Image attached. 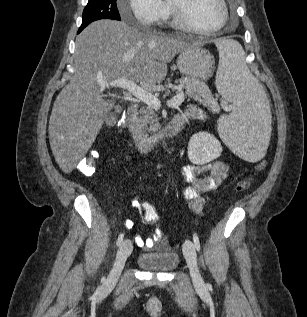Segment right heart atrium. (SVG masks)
I'll return each mask as SVG.
<instances>
[{"instance_id":"obj_1","label":"right heart atrium","mask_w":307,"mask_h":317,"mask_svg":"<svg viewBox=\"0 0 307 317\" xmlns=\"http://www.w3.org/2000/svg\"><path fill=\"white\" fill-rule=\"evenodd\" d=\"M128 6L121 5L119 10L125 19L133 17L143 26L158 24L166 19L167 8L162 0H127Z\"/></svg>"}]
</instances>
